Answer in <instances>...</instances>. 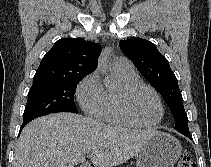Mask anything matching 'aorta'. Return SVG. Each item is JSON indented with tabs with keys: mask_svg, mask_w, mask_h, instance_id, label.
Instances as JSON below:
<instances>
[{
	"mask_svg": "<svg viewBox=\"0 0 211 167\" xmlns=\"http://www.w3.org/2000/svg\"><path fill=\"white\" fill-rule=\"evenodd\" d=\"M108 54L109 50H105L98 61V67L104 71H106L108 67ZM105 86L109 87V82L107 80L105 81Z\"/></svg>",
	"mask_w": 211,
	"mask_h": 167,
	"instance_id": "obj_1",
	"label": "aorta"
}]
</instances>
